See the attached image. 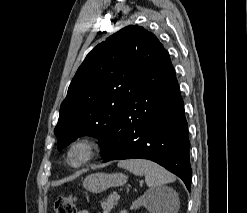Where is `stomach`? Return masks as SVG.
I'll list each match as a JSON object with an SVG mask.
<instances>
[{
  "instance_id": "0dacf381",
  "label": "stomach",
  "mask_w": 247,
  "mask_h": 213,
  "mask_svg": "<svg viewBox=\"0 0 247 213\" xmlns=\"http://www.w3.org/2000/svg\"><path fill=\"white\" fill-rule=\"evenodd\" d=\"M127 177L122 173H93L88 175L83 181V187L92 193H101L110 187L125 184Z\"/></svg>"
}]
</instances>
